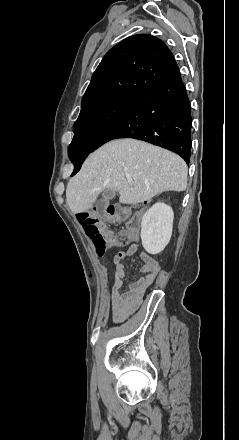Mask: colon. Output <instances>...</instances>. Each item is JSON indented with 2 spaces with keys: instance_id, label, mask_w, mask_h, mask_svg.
<instances>
[{
  "instance_id": "1",
  "label": "colon",
  "mask_w": 239,
  "mask_h": 440,
  "mask_svg": "<svg viewBox=\"0 0 239 440\" xmlns=\"http://www.w3.org/2000/svg\"><path fill=\"white\" fill-rule=\"evenodd\" d=\"M141 210V205L109 206L100 215L90 212L80 213L78 220L85 234L92 241L96 253L102 256L110 247L117 244L115 235L106 229V223L127 221L126 228L122 231L121 235L128 239L133 238L137 233L139 223L137 218L132 217V214L139 213Z\"/></svg>"
}]
</instances>
